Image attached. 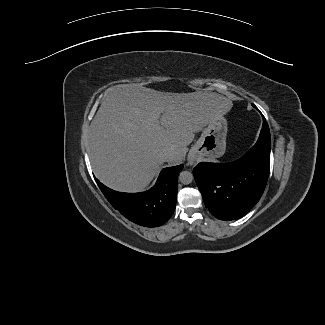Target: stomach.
<instances>
[{"mask_svg":"<svg viewBox=\"0 0 325 325\" xmlns=\"http://www.w3.org/2000/svg\"><path fill=\"white\" fill-rule=\"evenodd\" d=\"M226 134L227 121L224 116L211 120L191 149L190 156L208 160L222 156L226 147Z\"/></svg>","mask_w":325,"mask_h":325,"instance_id":"stomach-1","label":"stomach"}]
</instances>
